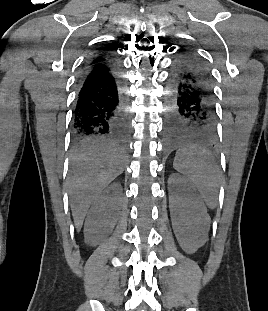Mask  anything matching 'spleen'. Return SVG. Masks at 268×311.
I'll list each match as a JSON object with an SVG mask.
<instances>
[{"label":"spleen","mask_w":268,"mask_h":311,"mask_svg":"<svg viewBox=\"0 0 268 311\" xmlns=\"http://www.w3.org/2000/svg\"><path fill=\"white\" fill-rule=\"evenodd\" d=\"M173 165L194 183L209 208L217 206L220 170L214 152L196 147L184 148L176 153Z\"/></svg>","instance_id":"3e777b00"}]
</instances>
